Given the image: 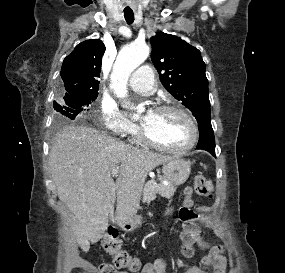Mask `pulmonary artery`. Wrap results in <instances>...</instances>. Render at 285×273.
Wrapping results in <instances>:
<instances>
[{
    "instance_id": "pulmonary-artery-1",
    "label": "pulmonary artery",
    "mask_w": 285,
    "mask_h": 273,
    "mask_svg": "<svg viewBox=\"0 0 285 273\" xmlns=\"http://www.w3.org/2000/svg\"><path fill=\"white\" fill-rule=\"evenodd\" d=\"M129 85L138 92L151 93L155 89L153 69L149 65L140 66L131 75Z\"/></svg>"
}]
</instances>
